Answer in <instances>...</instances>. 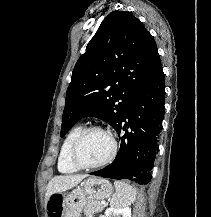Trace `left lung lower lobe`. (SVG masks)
<instances>
[{"mask_svg":"<svg viewBox=\"0 0 211 217\" xmlns=\"http://www.w3.org/2000/svg\"><path fill=\"white\" fill-rule=\"evenodd\" d=\"M165 77L161 70L133 96L125 115L114 128L121 145L114 161L91 175L129 179L140 185L151 180L164 117ZM122 131H125L123 134Z\"/></svg>","mask_w":211,"mask_h":217,"instance_id":"0a47b994","label":"left lung lower lobe"}]
</instances>
